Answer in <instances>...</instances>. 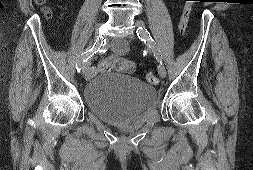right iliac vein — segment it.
I'll return each instance as SVG.
<instances>
[{
  "instance_id": "1",
  "label": "right iliac vein",
  "mask_w": 253,
  "mask_h": 170,
  "mask_svg": "<svg viewBox=\"0 0 253 170\" xmlns=\"http://www.w3.org/2000/svg\"><path fill=\"white\" fill-rule=\"evenodd\" d=\"M96 37V34H95ZM79 62V61H78ZM90 66H91V59L87 60L83 64V74L85 79H90L91 78V71H90Z\"/></svg>"
}]
</instances>
